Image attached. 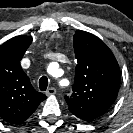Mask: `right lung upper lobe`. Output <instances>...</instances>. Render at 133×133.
<instances>
[{
	"label": "right lung upper lobe",
	"mask_w": 133,
	"mask_h": 133,
	"mask_svg": "<svg viewBox=\"0 0 133 133\" xmlns=\"http://www.w3.org/2000/svg\"><path fill=\"white\" fill-rule=\"evenodd\" d=\"M32 38L16 36L0 46V117L20 124L28 119L46 96L37 92L20 66Z\"/></svg>",
	"instance_id": "1"
}]
</instances>
